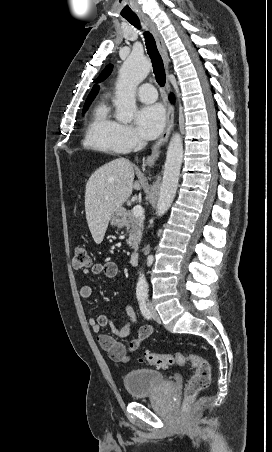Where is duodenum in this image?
Instances as JSON below:
<instances>
[{
	"instance_id": "410a0bca",
	"label": "duodenum",
	"mask_w": 272,
	"mask_h": 452,
	"mask_svg": "<svg viewBox=\"0 0 272 452\" xmlns=\"http://www.w3.org/2000/svg\"><path fill=\"white\" fill-rule=\"evenodd\" d=\"M139 251L138 250H133L131 253H130V262H131V264H136L137 262H138V259H139Z\"/></svg>"
}]
</instances>
